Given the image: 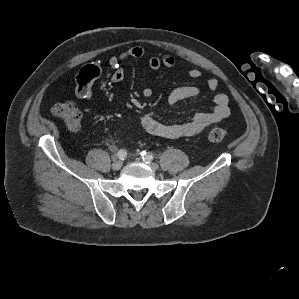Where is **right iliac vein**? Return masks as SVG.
<instances>
[{"label":"right iliac vein","instance_id":"obj_1","mask_svg":"<svg viewBox=\"0 0 299 299\" xmlns=\"http://www.w3.org/2000/svg\"><path fill=\"white\" fill-rule=\"evenodd\" d=\"M122 165H123L122 161L118 160L112 164V168L113 170H119L122 167Z\"/></svg>","mask_w":299,"mask_h":299}]
</instances>
